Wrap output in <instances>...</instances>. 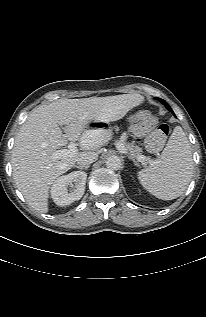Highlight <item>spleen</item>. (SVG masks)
<instances>
[{"label": "spleen", "instance_id": "3e777b00", "mask_svg": "<svg viewBox=\"0 0 206 317\" xmlns=\"http://www.w3.org/2000/svg\"><path fill=\"white\" fill-rule=\"evenodd\" d=\"M193 159L186 134L176 126L160 159L138 172L141 185L162 200H172L184 193L192 178Z\"/></svg>", "mask_w": 206, "mask_h": 317}]
</instances>
